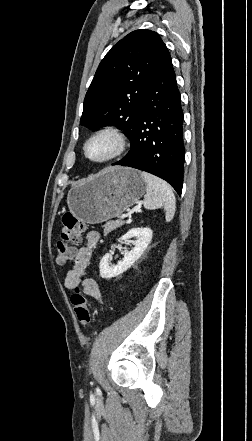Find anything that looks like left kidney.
<instances>
[{"label": "left kidney", "mask_w": 252, "mask_h": 441, "mask_svg": "<svg viewBox=\"0 0 252 441\" xmlns=\"http://www.w3.org/2000/svg\"><path fill=\"white\" fill-rule=\"evenodd\" d=\"M131 238H136L135 241L132 242L134 247L132 250H126L124 252V258L119 261L116 265L110 266V258L111 255L109 253L105 254L99 265L100 276L104 279H110L112 277L118 276L129 269L136 260H138L141 255L146 250L147 246L151 242L152 239V231L150 228H132L128 230L126 234H124L119 241L128 240ZM115 245H112V248H115Z\"/></svg>", "instance_id": "1"}]
</instances>
